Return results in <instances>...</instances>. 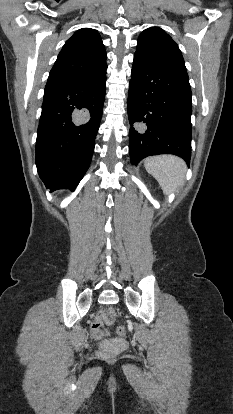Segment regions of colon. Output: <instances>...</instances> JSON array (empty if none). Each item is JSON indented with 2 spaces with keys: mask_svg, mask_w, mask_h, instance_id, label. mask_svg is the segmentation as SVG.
I'll return each instance as SVG.
<instances>
[{
  "mask_svg": "<svg viewBox=\"0 0 233 414\" xmlns=\"http://www.w3.org/2000/svg\"><path fill=\"white\" fill-rule=\"evenodd\" d=\"M114 319V310L109 308L106 310H101L97 313L94 321L91 324L90 332L91 337L95 340H99L106 336V333L102 330L103 324H111ZM116 333L118 336H125L127 333V328L124 325L117 327ZM102 356H107L106 353L101 352Z\"/></svg>",
  "mask_w": 233,
  "mask_h": 414,
  "instance_id": "obj_1",
  "label": "colon"
}]
</instances>
